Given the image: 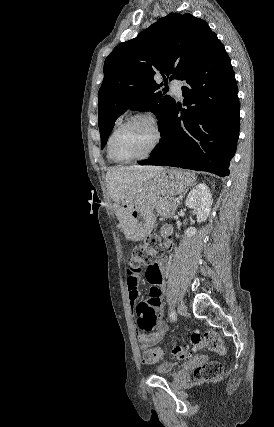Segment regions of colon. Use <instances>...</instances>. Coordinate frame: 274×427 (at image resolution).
<instances>
[{
	"instance_id": "1",
	"label": "colon",
	"mask_w": 274,
	"mask_h": 427,
	"mask_svg": "<svg viewBox=\"0 0 274 427\" xmlns=\"http://www.w3.org/2000/svg\"><path fill=\"white\" fill-rule=\"evenodd\" d=\"M160 253V240L157 235L150 236L142 241L129 252V258L126 260L128 269L138 270L146 266V261L156 259ZM209 349L220 354L226 352L220 336L215 332H194L191 335V341L184 345H175L171 348V356L184 360L191 357L195 351ZM167 351L164 347H145L142 357L143 364H154L155 359H166ZM224 374V367L218 361H210L196 370V377L199 382L216 381Z\"/></svg>"
}]
</instances>
